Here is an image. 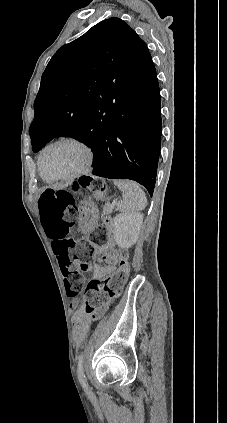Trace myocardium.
<instances>
[{"label": "myocardium", "mask_w": 227, "mask_h": 423, "mask_svg": "<svg viewBox=\"0 0 227 423\" xmlns=\"http://www.w3.org/2000/svg\"><path fill=\"white\" fill-rule=\"evenodd\" d=\"M63 143H72V144L80 146L86 153L85 163L80 169H78L77 171H75L71 174L51 175L45 170L44 162H43L44 155L49 149H51V148H53L57 145L63 144ZM94 163H95V151H94V149L85 140H83L82 138H79V137H75V136L62 137V138L48 144L41 151L40 156H39V161H38L40 172L42 173V175L46 179H49L51 181H56V180L71 181V180L81 178L82 176L88 174L93 169Z\"/></svg>", "instance_id": "1"}]
</instances>
